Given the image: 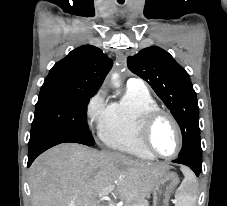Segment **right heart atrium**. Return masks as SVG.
Here are the masks:
<instances>
[{
    "instance_id": "obj_1",
    "label": "right heart atrium",
    "mask_w": 227,
    "mask_h": 206,
    "mask_svg": "<svg viewBox=\"0 0 227 206\" xmlns=\"http://www.w3.org/2000/svg\"><path fill=\"white\" fill-rule=\"evenodd\" d=\"M106 92L104 89L97 91L88 101L86 106V120L89 127L100 130L108 110Z\"/></svg>"
}]
</instances>
